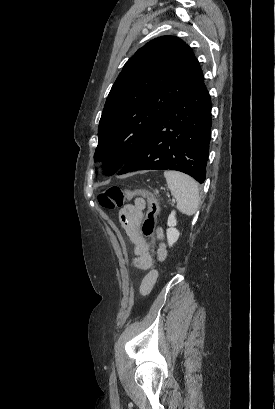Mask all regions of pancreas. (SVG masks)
Segmentation results:
<instances>
[{
  "mask_svg": "<svg viewBox=\"0 0 275 409\" xmlns=\"http://www.w3.org/2000/svg\"><path fill=\"white\" fill-rule=\"evenodd\" d=\"M154 194H158V190H154Z\"/></svg>",
  "mask_w": 275,
  "mask_h": 409,
  "instance_id": "pancreas-1",
  "label": "pancreas"
}]
</instances>
